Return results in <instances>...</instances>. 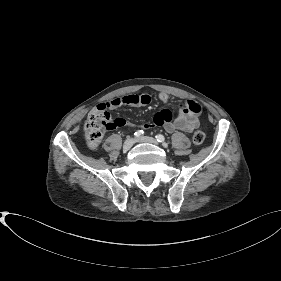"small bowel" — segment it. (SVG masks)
I'll return each mask as SVG.
<instances>
[{
	"instance_id": "small-bowel-1",
	"label": "small bowel",
	"mask_w": 281,
	"mask_h": 281,
	"mask_svg": "<svg viewBox=\"0 0 281 281\" xmlns=\"http://www.w3.org/2000/svg\"><path fill=\"white\" fill-rule=\"evenodd\" d=\"M161 103L169 101L168 94L162 92L158 95ZM152 97L147 93L129 94L103 102L98 108L103 110H114L120 106L129 105L134 107L147 106L151 103ZM117 127H135L124 118H116ZM200 125V106L194 101H188L180 106L176 118H173L172 112L168 109H162L155 113L152 123L140 126V129L146 130L156 126H162L168 132L183 131L192 132ZM142 130V131H143Z\"/></svg>"
}]
</instances>
